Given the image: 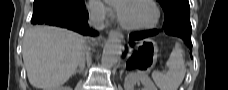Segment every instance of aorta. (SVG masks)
Here are the masks:
<instances>
[{
  "instance_id": "aorta-1",
  "label": "aorta",
  "mask_w": 228,
  "mask_h": 90,
  "mask_svg": "<svg viewBox=\"0 0 228 90\" xmlns=\"http://www.w3.org/2000/svg\"><path fill=\"white\" fill-rule=\"evenodd\" d=\"M122 45L119 36H111L106 42L101 63L106 67L114 66L120 59Z\"/></svg>"
}]
</instances>
